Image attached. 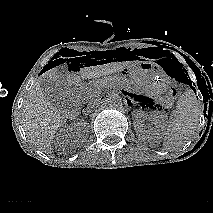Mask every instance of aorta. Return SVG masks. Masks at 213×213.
<instances>
[{"mask_svg":"<svg viewBox=\"0 0 213 213\" xmlns=\"http://www.w3.org/2000/svg\"><path fill=\"white\" fill-rule=\"evenodd\" d=\"M107 105L110 108H120L122 106V98L117 93H112L106 100Z\"/></svg>","mask_w":213,"mask_h":213,"instance_id":"aorta-1","label":"aorta"}]
</instances>
